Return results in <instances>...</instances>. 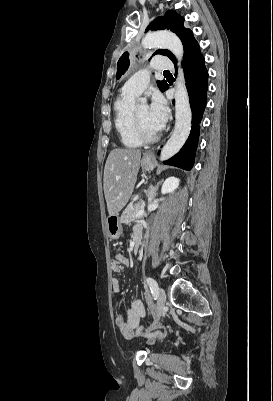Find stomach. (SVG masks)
<instances>
[{
    "instance_id": "obj_1",
    "label": "stomach",
    "mask_w": 273,
    "mask_h": 401,
    "mask_svg": "<svg viewBox=\"0 0 273 401\" xmlns=\"http://www.w3.org/2000/svg\"><path fill=\"white\" fill-rule=\"evenodd\" d=\"M144 154H147V152H144ZM141 164L143 168H148V170H153L155 166V160L154 158H144L143 156ZM106 223L110 239H119L123 231L119 217H117V215H111V217H107Z\"/></svg>"
}]
</instances>
